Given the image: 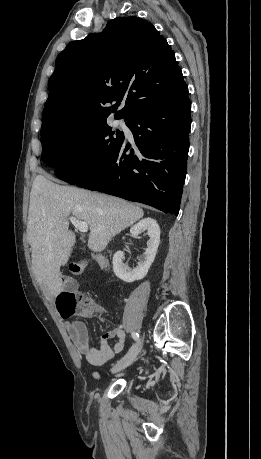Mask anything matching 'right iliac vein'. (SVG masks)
Instances as JSON below:
<instances>
[{
	"label": "right iliac vein",
	"mask_w": 261,
	"mask_h": 459,
	"mask_svg": "<svg viewBox=\"0 0 261 459\" xmlns=\"http://www.w3.org/2000/svg\"><path fill=\"white\" fill-rule=\"evenodd\" d=\"M142 345L143 341L139 340L137 344L129 351L128 355L125 358L119 360L111 371L113 373H117L131 365L135 361L136 356L141 351Z\"/></svg>",
	"instance_id": "1"
}]
</instances>
